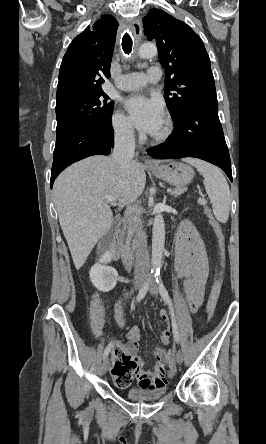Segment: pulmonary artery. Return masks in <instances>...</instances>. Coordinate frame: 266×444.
Returning a JSON list of instances; mask_svg holds the SVG:
<instances>
[{"label":"pulmonary artery","mask_w":266,"mask_h":444,"mask_svg":"<svg viewBox=\"0 0 266 444\" xmlns=\"http://www.w3.org/2000/svg\"><path fill=\"white\" fill-rule=\"evenodd\" d=\"M162 77V71L158 66H151L146 73H129L116 81L115 85L122 90H135L145 86L148 82H157Z\"/></svg>","instance_id":"pulmonary-artery-1"}]
</instances>
